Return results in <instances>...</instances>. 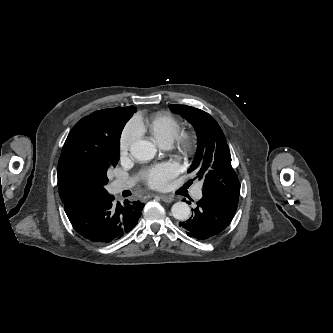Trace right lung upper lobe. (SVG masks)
Masks as SVG:
<instances>
[{
	"instance_id": "cb5924a9",
	"label": "right lung upper lobe",
	"mask_w": 333,
	"mask_h": 333,
	"mask_svg": "<svg viewBox=\"0 0 333 333\" xmlns=\"http://www.w3.org/2000/svg\"><path fill=\"white\" fill-rule=\"evenodd\" d=\"M59 195L64 205L86 201L88 198L80 190L69 185L61 174L58 173Z\"/></svg>"
}]
</instances>
